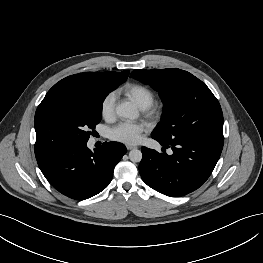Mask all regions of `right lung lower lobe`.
<instances>
[{"label":"right lung lower lobe","mask_w":263,"mask_h":263,"mask_svg":"<svg viewBox=\"0 0 263 263\" xmlns=\"http://www.w3.org/2000/svg\"><path fill=\"white\" fill-rule=\"evenodd\" d=\"M87 142L56 150L38 159L51 185L63 195L88 199L104 190L112 180L116 164L127 149L119 142H105L91 151Z\"/></svg>","instance_id":"1"}]
</instances>
